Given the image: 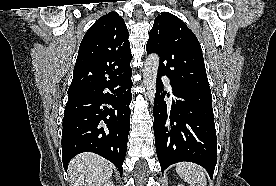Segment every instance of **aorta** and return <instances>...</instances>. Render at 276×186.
Returning <instances> with one entry per match:
<instances>
[{
  "label": "aorta",
  "mask_w": 276,
  "mask_h": 186,
  "mask_svg": "<svg viewBox=\"0 0 276 186\" xmlns=\"http://www.w3.org/2000/svg\"><path fill=\"white\" fill-rule=\"evenodd\" d=\"M159 67V56L150 54L145 62L143 70V83L146 88V97L153 104L156 94V80Z\"/></svg>",
  "instance_id": "obj_1"
}]
</instances>
